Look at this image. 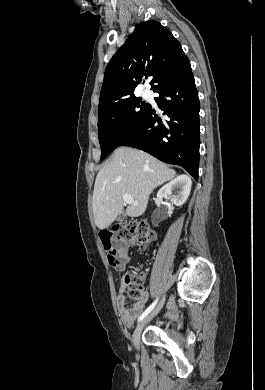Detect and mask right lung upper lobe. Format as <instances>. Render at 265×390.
Returning a JSON list of instances; mask_svg holds the SVG:
<instances>
[{
  "label": "right lung upper lobe",
  "instance_id": "cb5924a9",
  "mask_svg": "<svg viewBox=\"0 0 265 390\" xmlns=\"http://www.w3.org/2000/svg\"><path fill=\"white\" fill-rule=\"evenodd\" d=\"M188 61L180 43L159 22L138 24L106 67L98 112L133 97L148 77L154 90Z\"/></svg>",
  "mask_w": 265,
  "mask_h": 390
}]
</instances>
